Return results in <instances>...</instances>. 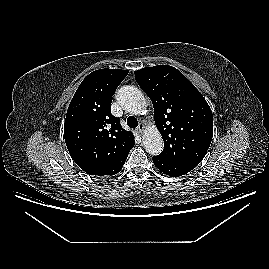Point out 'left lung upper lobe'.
<instances>
[{
  "mask_svg": "<svg viewBox=\"0 0 269 269\" xmlns=\"http://www.w3.org/2000/svg\"><path fill=\"white\" fill-rule=\"evenodd\" d=\"M135 79L153 103L155 124L164 140L160 156L198 165L213 135L212 111L202 94L168 65L140 69Z\"/></svg>",
  "mask_w": 269,
  "mask_h": 269,
  "instance_id": "5c2ea615",
  "label": "left lung upper lobe"
}]
</instances>
